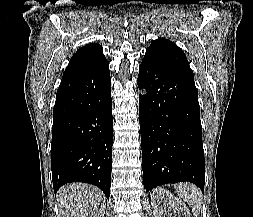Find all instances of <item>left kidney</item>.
<instances>
[{"instance_id": "obj_1", "label": "left kidney", "mask_w": 253, "mask_h": 217, "mask_svg": "<svg viewBox=\"0 0 253 217\" xmlns=\"http://www.w3.org/2000/svg\"><path fill=\"white\" fill-rule=\"evenodd\" d=\"M152 206L155 217H165L167 215L166 206H169L173 217H192L186 204L163 188H158L153 192Z\"/></svg>"}]
</instances>
